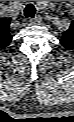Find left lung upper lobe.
Segmentation results:
<instances>
[{
	"label": "left lung upper lobe",
	"mask_w": 74,
	"mask_h": 122,
	"mask_svg": "<svg viewBox=\"0 0 74 122\" xmlns=\"http://www.w3.org/2000/svg\"><path fill=\"white\" fill-rule=\"evenodd\" d=\"M60 42L66 49L74 50V22H72L68 30L62 33Z\"/></svg>",
	"instance_id": "5c2ea615"
}]
</instances>
